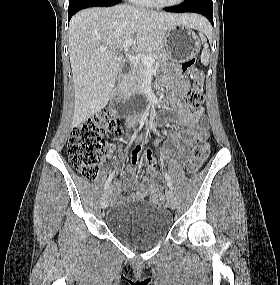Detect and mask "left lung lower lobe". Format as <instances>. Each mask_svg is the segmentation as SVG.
I'll return each instance as SVG.
<instances>
[{"instance_id":"0a47b994","label":"left lung lower lobe","mask_w":280,"mask_h":285,"mask_svg":"<svg viewBox=\"0 0 280 285\" xmlns=\"http://www.w3.org/2000/svg\"><path fill=\"white\" fill-rule=\"evenodd\" d=\"M165 11L184 13L195 12L204 15L213 25V2L212 0H185L182 4L170 8Z\"/></svg>"}]
</instances>
